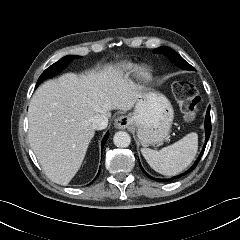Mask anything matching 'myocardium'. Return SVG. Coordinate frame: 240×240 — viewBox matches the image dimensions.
<instances>
[{
    "label": "myocardium",
    "mask_w": 240,
    "mask_h": 240,
    "mask_svg": "<svg viewBox=\"0 0 240 240\" xmlns=\"http://www.w3.org/2000/svg\"><path fill=\"white\" fill-rule=\"evenodd\" d=\"M137 73L140 77H146L148 74V69L145 66L139 67Z\"/></svg>",
    "instance_id": "1"
}]
</instances>
